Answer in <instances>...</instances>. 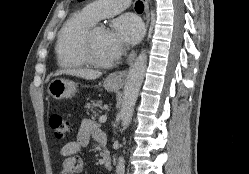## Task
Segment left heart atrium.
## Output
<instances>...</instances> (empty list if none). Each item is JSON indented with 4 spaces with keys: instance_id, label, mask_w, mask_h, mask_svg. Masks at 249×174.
Instances as JSON below:
<instances>
[{
    "instance_id": "1",
    "label": "left heart atrium",
    "mask_w": 249,
    "mask_h": 174,
    "mask_svg": "<svg viewBox=\"0 0 249 174\" xmlns=\"http://www.w3.org/2000/svg\"><path fill=\"white\" fill-rule=\"evenodd\" d=\"M113 59L119 58L125 45L136 43L142 35L140 22L132 16H123L114 23L109 32Z\"/></svg>"
}]
</instances>
